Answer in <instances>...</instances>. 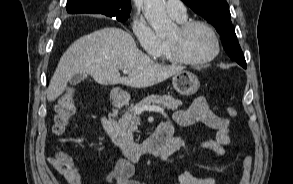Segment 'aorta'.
Here are the masks:
<instances>
[{
	"label": "aorta",
	"mask_w": 293,
	"mask_h": 184,
	"mask_svg": "<svg viewBox=\"0 0 293 184\" xmlns=\"http://www.w3.org/2000/svg\"><path fill=\"white\" fill-rule=\"evenodd\" d=\"M144 15L159 36H165L174 27L165 11V0H144Z\"/></svg>",
	"instance_id": "aorta-1"
}]
</instances>
